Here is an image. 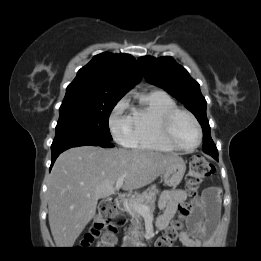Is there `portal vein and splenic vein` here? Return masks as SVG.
I'll use <instances>...</instances> for the list:
<instances>
[{
  "instance_id": "obj_1",
  "label": "portal vein and splenic vein",
  "mask_w": 261,
  "mask_h": 261,
  "mask_svg": "<svg viewBox=\"0 0 261 261\" xmlns=\"http://www.w3.org/2000/svg\"><path fill=\"white\" fill-rule=\"evenodd\" d=\"M123 182H124V177L118 178V180L115 184V189L119 190L121 188V186L123 185ZM138 211L145 214L149 211V208L147 206L141 205L138 207Z\"/></svg>"
}]
</instances>
